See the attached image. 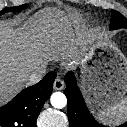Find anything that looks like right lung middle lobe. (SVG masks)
Returning a JSON list of instances; mask_svg holds the SVG:
<instances>
[{
    "label": "right lung middle lobe",
    "mask_w": 127,
    "mask_h": 127,
    "mask_svg": "<svg viewBox=\"0 0 127 127\" xmlns=\"http://www.w3.org/2000/svg\"><path fill=\"white\" fill-rule=\"evenodd\" d=\"M26 7H27V4L17 6V7H7L5 9H3L2 11H0V15L4 14L6 12H18V11L25 9Z\"/></svg>",
    "instance_id": "dd1d6c3e"
}]
</instances>
